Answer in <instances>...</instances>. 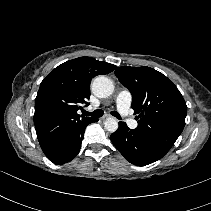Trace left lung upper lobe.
Returning <instances> with one entry per match:
<instances>
[{
	"mask_svg": "<svg viewBox=\"0 0 211 211\" xmlns=\"http://www.w3.org/2000/svg\"><path fill=\"white\" fill-rule=\"evenodd\" d=\"M132 94L136 130L167 153L183 131L187 106L180 91L165 75L150 67L122 66L115 70Z\"/></svg>",
	"mask_w": 211,
	"mask_h": 211,
	"instance_id": "5c2ea615",
	"label": "left lung upper lobe"
}]
</instances>
